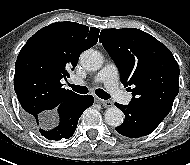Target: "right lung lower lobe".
Listing matches in <instances>:
<instances>
[{"instance_id": "98d812e1", "label": "right lung lower lobe", "mask_w": 190, "mask_h": 165, "mask_svg": "<svg viewBox=\"0 0 190 165\" xmlns=\"http://www.w3.org/2000/svg\"><path fill=\"white\" fill-rule=\"evenodd\" d=\"M93 102L92 95H78L67 99L42 118L35 119L25 114V119L34 131L49 140L68 139L74 134L79 117Z\"/></svg>"}]
</instances>
